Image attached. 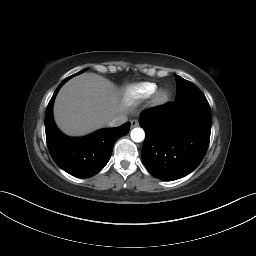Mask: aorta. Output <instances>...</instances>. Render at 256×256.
<instances>
[{
  "label": "aorta",
  "instance_id": "762f6f07",
  "mask_svg": "<svg viewBox=\"0 0 256 256\" xmlns=\"http://www.w3.org/2000/svg\"><path fill=\"white\" fill-rule=\"evenodd\" d=\"M131 139L134 142H142L145 138V132L142 128H134L130 133Z\"/></svg>",
  "mask_w": 256,
  "mask_h": 256
}]
</instances>
